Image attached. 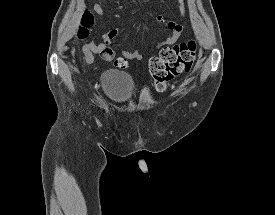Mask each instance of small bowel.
<instances>
[{"label":"small bowel","instance_id":"1","mask_svg":"<svg viewBox=\"0 0 275 215\" xmlns=\"http://www.w3.org/2000/svg\"><path fill=\"white\" fill-rule=\"evenodd\" d=\"M181 4V11L182 15H186L184 0H179ZM93 9L99 16H104L107 11L103 3L96 2L93 5ZM158 24L166 26L171 30V33L165 35L162 39L156 42L154 45L149 46L146 48V53H153L159 51L166 45H171L175 43L181 36L184 26L181 24H177L173 21L166 19L164 16H158L156 18ZM119 36L118 30H110L101 36V41L98 42V34L87 42L84 47L83 51L85 54V60L87 63H92L94 60L93 54H99L100 57L105 61L113 60L115 56V51L110 47V43L114 41ZM123 58L127 60H137L141 61L145 58L146 54L143 53L139 49H135L132 51H122Z\"/></svg>","mask_w":275,"mask_h":215}]
</instances>
